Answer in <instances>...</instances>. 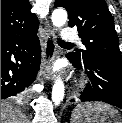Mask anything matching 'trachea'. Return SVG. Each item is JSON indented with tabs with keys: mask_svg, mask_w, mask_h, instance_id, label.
<instances>
[{
	"mask_svg": "<svg viewBox=\"0 0 122 123\" xmlns=\"http://www.w3.org/2000/svg\"><path fill=\"white\" fill-rule=\"evenodd\" d=\"M57 41H58V44L62 45V46H73V44L67 43V42H65V41H63L61 39H57Z\"/></svg>",
	"mask_w": 122,
	"mask_h": 123,
	"instance_id": "obj_1",
	"label": "trachea"
}]
</instances>
